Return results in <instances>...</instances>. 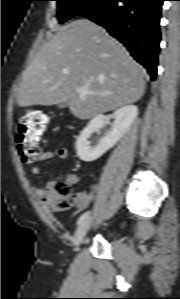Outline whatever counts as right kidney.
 <instances>
[{
  "mask_svg": "<svg viewBox=\"0 0 180 299\" xmlns=\"http://www.w3.org/2000/svg\"><path fill=\"white\" fill-rule=\"evenodd\" d=\"M137 115L138 108L135 105H127L117 109L113 114L115 120L111 131L103 136L96 144H93L90 141L92 134L101 129L106 121L104 115L95 116L77 138L76 151L78 157L85 162L98 159L126 134Z\"/></svg>",
  "mask_w": 180,
  "mask_h": 299,
  "instance_id": "right-kidney-1",
  "label": "right kidney"
}]
</instances>
